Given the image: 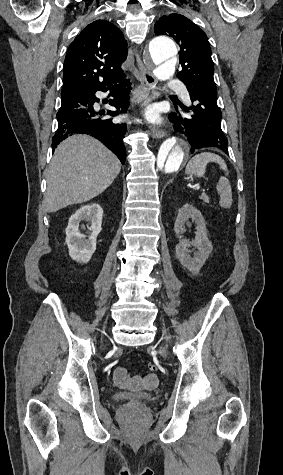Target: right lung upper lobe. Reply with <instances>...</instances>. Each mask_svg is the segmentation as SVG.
<instances>
[{
	"instance_id": "1",
	"label": "right lung upper lobe",
	"mask_w": 283,
	"mask_h": 475,
	"mask_svg": "<svg viewBox=\"0 0 283 475\" xmlns=\"http://www.w3.org/2000/svg\"><path fill=\"white\" fill-rule=\"evenodd\" d=\"M121 30L106 20L89 24L70 44L62 89L102 87L122 82L121 64L127 57Z\"/></svg>"
}]
</instances>
